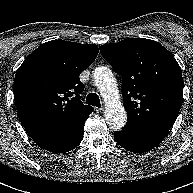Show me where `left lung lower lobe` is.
<instances>
[{
    "label": "left lung lower lobe",
    "instance_id": "left-lung-lower-lobe-1",
    "mask_svg": "<svg viewBox=\"0 0 193 193\" xmlns=\"http://www.w3.org/2000/svg\"><path fill=\"white\" fill-rule=\"evenodd\" d=\"M171 127L165 125H144L125 127L114 133L115 141L128 151L143 153L160 144Z\"/></svg>",
    "mask_w": 193,
    "mask_h": 193
}]
</instances>
